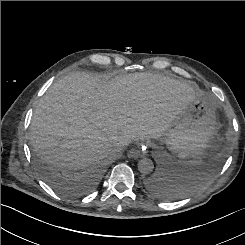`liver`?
I'll use <instances>...</instances> for the list:
<instances>
[{
	"instance_id": "6515ba94",
	"label": "liver",
	"mask_w": 245,
	"mask_h": 245,
	"mask_svg": "<svg viewBox=\"0 0 245 245\" xmlns=\"http://www.w3.org/2000/svg\"><path fill=\"white\" fill-rule=\"evenodd\" d=\"M198 96L195 85L152 73L102 81L75 72L40 99L30 140L47 163L81 168L114 152L118 141L159 139Z\"/></svg>"
}]
</instances>
